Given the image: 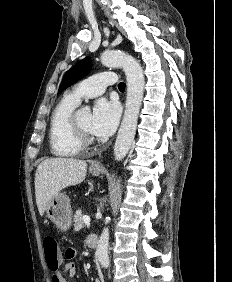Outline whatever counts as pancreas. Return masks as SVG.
<instances>
[{
  "mask_svg": "<svg viewBox=\"0 0 232 282\" xmlns=\"http://www.w3.org/2000/svg\"><path fill=\"white\" fill-rule=\"evenodd\" d=\"M84 227L83 224V215L81 214H75L74 215V229L76 231L82 229Z\"/></svg>",
  "mask_w": 232,
  "mask_h": 282,
  "instance_id": "1",
  "label": "pancreas"
}]
</instances>
